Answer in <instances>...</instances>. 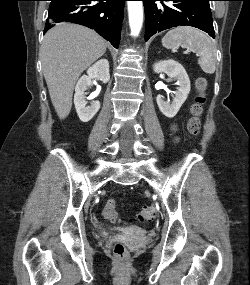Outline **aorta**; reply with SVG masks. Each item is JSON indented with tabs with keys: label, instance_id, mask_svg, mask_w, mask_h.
Instances as JSON below:
<instances>
[{
	"label": "aorta",
	"instance_id": "obj_1",
	"mask_svg": "<svg viewBox=\"0 0 250 285\" xmlns=\"http://www.w3.org/2000/svg\"><path fill=\"white\" fill-rule=\"evenodd\" d=\"M127 6L131 35L138 36L143 24V2L128 1Z\"/></svg>",
	"mask_w": 250,
	"mask_h": 285
}]
</instances>
